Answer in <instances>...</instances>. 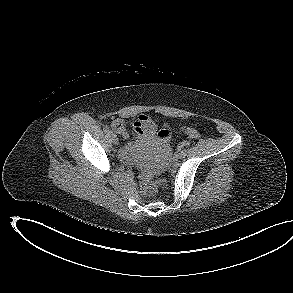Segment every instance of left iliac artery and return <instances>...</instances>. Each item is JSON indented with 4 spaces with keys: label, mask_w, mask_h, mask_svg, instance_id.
Wrapping results in <instances>:
<instances>
[{
    "label": "left iliac artery",
    "mask_w": 293,
    "mask_h": 293,
    "mask_svg": "<svg viewBox=\"0 0 293 293\" xmlns=\"http://www.w3.org/2000/svg\"><path fill=\"white\" fill-rule=\"evenodd\" d=\"M188 145H189V142L184 141L181 143L180 148L186 151V148L188 147Z\"/></svg>",
    "instance_id": "obj_1"
}]
</instances>
